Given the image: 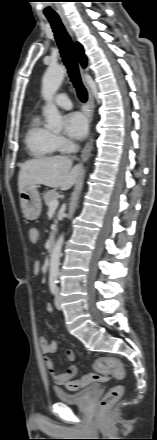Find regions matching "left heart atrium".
I'll use <instances>...</instances> for the list:
<instances>
[{
	"label": "left heart atrium",
	"instance_id": "obj_1",
	"mask_svg": "<svg viewBox=\"0 0 157 440\" xmlns=\"http://www.w3.org/2000/svg\"><path fill=\"white\" fill-rule=\"evenodd\" d=\"M65 133L74 140L83 139L88 132V123L86 118L80 113H71L64 120Z\"/></svg>",
	"mask_w": 157,
	"mask_h": 440
}]
</instances>
